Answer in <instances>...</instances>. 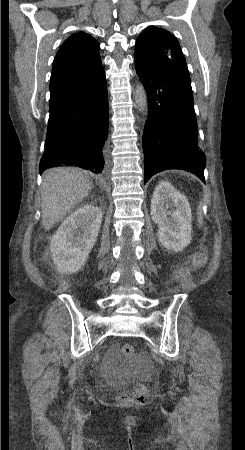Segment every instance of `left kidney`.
<instances>
[{
	"mask_svg": "<svg viewBox=\"0 0 245 450\" xmlns=\"http://www.w3.org/2000/svg\"><path fill=\"white\" fill-rule=\"evenodd\" d=\"M151 217L158 224V240L167 250L182 251L191 242V208L180 191L161 182L151 199Z\"/></svg>",
	"mask_w": 245,
	"mask_h": 450,
	"instance_id": "1",
	"label": "left kidney"
}]
</instances>
